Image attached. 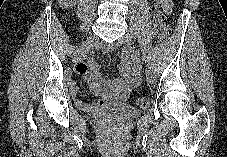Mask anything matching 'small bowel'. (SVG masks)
Wrapping results in <instances>:
<instances>
[{
  "label": "small bowel",
  "instance_id": "1",
  "mask_svg": "<svg viewBox=\"0 0 227 157\" xmlns=\"http://www.w3.org/2000/svg\"><path fill=\"white\" fill-rule=\"evenodd\" d=\"M158 2L164 12L169 13L172 10V0H155ZM114 45H108L107 49H113ZM140 63L136 53L131 48H126L122 53V62L120 72L122 78L100 79L99 68L93 62L85 64L78 63L75 72L84 77L92 92L100 97L96 103H86L76 100V105L84 111H96L103 108L109 101H124L128 98L130 91L135 88L140 81ZM71 94L75 97L79 88L75 83H70Z\"/></svg>",
  "mask_w": 227,
  "mask_h": 157
}]
</instances>
